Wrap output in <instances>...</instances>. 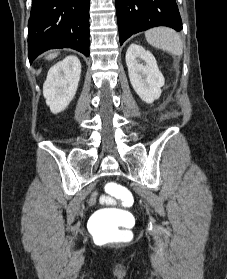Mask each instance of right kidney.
<instances>
[{"label": "right kidney", "instance_id": "1", "mask_svg": "<svg viewBox=\"0 0 227 279\" xmlns=\"http://www.w3.org/2000/svg\"><path fill=\"white\" fill-rule=\"evenodd\" d=\"M81 75L78 57L69 55L52 66L43 85V95L52 113L66 109L74 98Z\"/></svg>", "mask_w": 227, "mask_h": 279}]
</instances>
